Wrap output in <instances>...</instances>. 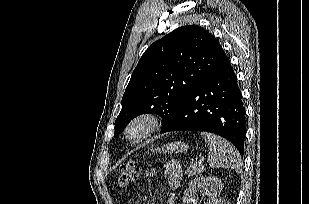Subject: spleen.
Here are the masks:
<instances>
[{"mask_svg": "<svg viewBox=\"0 0 309 204\" xmlns=\"http://www.w3.org/2000/svg\"><path fill=\"white\" fill-rule=\"evenodd\" d=\"M209 145L208 163L212 168H231L241 172V157L237 149L217 135L201 132Z\"/></svg>", "mask_w": 309, "mask_h": 204, "instance_id": "spleen-1", "label": "spleen"}]
</instances>
